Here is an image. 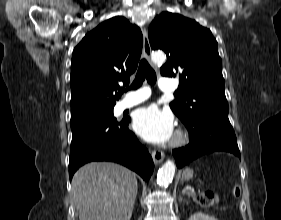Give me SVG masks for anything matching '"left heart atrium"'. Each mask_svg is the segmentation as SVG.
Segmentation results:
<instances>
[{"instance_id": "1", "label": "left heart atrium", "mask_w": 281, "mask_h": 220, "mask_svg": "<svg viewBox=\"0 0 281 220\" xmlns=\"http://www.w3.org/2000/svg\"><path fill=\"white\" fill-rule=\"evenodd\" d=\"M133 128L145 141L163 144L173 136L174 120L169 111L149 105L135 112Z\"/></svg>"}]
</instances>
